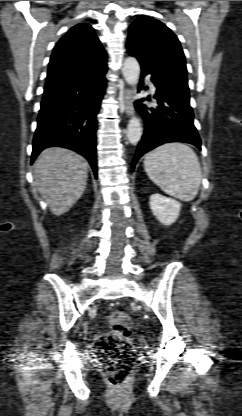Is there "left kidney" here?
I'll use <instances>...</instances> for the list:
<instances>
[{
	"mask_svg": "<svg viewBox=\"0 0 242 416\" xmlns=\"http://www.w3.org/2000/svg\"><path fill=\"white\" fill-rule=\"evenodd\" d=\"M149 203L153 214L163 225H171L179 216L181 204L174 199L156 193L151 195Z\"/></svg>",
	"mask_w": 242,
	"mask_h": 416,
	"instance_id": "5707ae66",
	"label": "left kidney"
}]
</instances>
